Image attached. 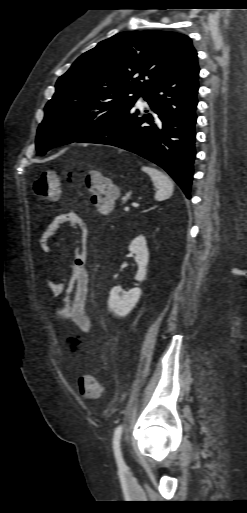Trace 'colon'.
I'll use <instances>...</instances> for the list:
<instances>
[{"label": "colon", "mask_w": 247, "mask_h": 513, "mask_svg": "<svg viewBox=\"0 0 247 513\" xmlns=\"http://www.w3.org/2000/svg\"><path fill=\"white\" fill-rule=\"evenodd\" d=\"M73 178L71 172L65 176H60L53 170H46L39 174L33 183V193L51 201L57 200L61 195L62 186L66 181ZM86 192L91 197L100 213L107 214L114 206L117 200V191L108 179L100 172L89 174L85 181ZM78 388L80 392L88 398H98L104 391V385L95 377L81 376L78 379Z\"/></svg>", "instance_id": "1"}]
</instances>
